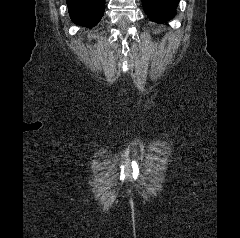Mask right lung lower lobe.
Listing matches in <instances>:
<instances>
[{
	"mask_svg": "<svg viewBox=\"0 0 240 238\" xmlns=\"http://www.w3.org/2000/svg\"><path fill=\"white\" fill-rule=\"evenodd\" d=\"M71 19L81 25L92 27L104 14L105 0H66Z\"/></svg>",
	"mask_w": 240,
	"mask_h": 238,
	"instance_id": "right-lung-lower-lobe-1",
	"label": "right lung lower lobe"
}]
</instances>
